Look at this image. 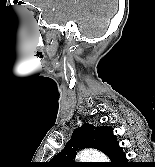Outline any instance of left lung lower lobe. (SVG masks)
Listing matches in <instances>:
<instances>
[{
    "instance_id": "obj_1",
    "label": "left lung lower lobe",
    "mask_w": 155,
    "mask_h": 167,
    "mask_svg": "<svg viewBox=\"0 0 155 167\" xmlns=\"http://www.w3.org/2000/svg\"><path fill=\"white\" fill-rule=\"evenodd\" d=\"M109 158L111 160L108 164L109 167H123L124 164H127L126 156L119 145L113 150Z\"/></svg>"
}]
</instances>
